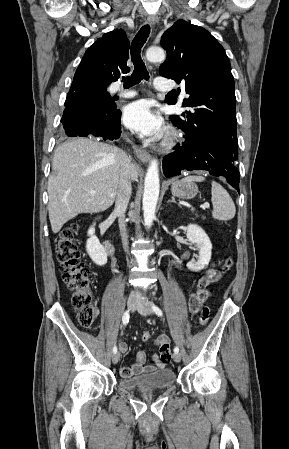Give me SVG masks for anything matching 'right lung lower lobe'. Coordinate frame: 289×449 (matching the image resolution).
<instances>
[{"mask_svg":"<svg viewBox=\"0 0 289 449\" xmlns=\"http://www.w3.org/2000/svg\"><path fill=\"white\" fill-rule=\"evenodd\" d=\"M95 93L96 88L92 84L73 81L67 94L66 108L61 120L64 124V133L70 137L94 135L104 140L118 139L121 134V112L116 109L114 102L104 117L83 116Z\"/></svg>","mask_w":289,"mask_h":449,"instance_id":"1","label":"right lung lower lobe"}]
</instances>
